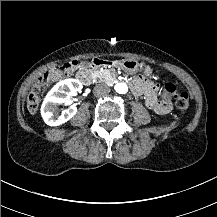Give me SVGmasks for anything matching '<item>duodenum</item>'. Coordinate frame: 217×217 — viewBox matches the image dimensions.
Segmentation results:
<instances>
[{
	"mask_svg": "<svg viewBox=\"0 0 217 217\" xmlns=\"http://www.w3.org/2000/svg\"><path fill=\"white\" fill-rule=\"evenodd\" d=\"M117 66V62L113 60H106L101 58H95L89 67L82 73L81 80L85 84H89L92 81L93 78V71L96 68L99 67H115ZM130 88L131 90L137 91L139 89V84L137 81L133 80L130 82Z\"/></svg>",
	"mask_w": 217,
	"mask_h": 217,
	"instance_id": "obj_1",
	"label": "duodenum"
}]
</instances>
